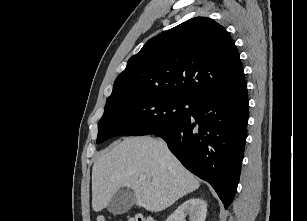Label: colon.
<instances>
[{"mask_svg":"<svg viewBox=\"0 0 307 221\" xmlns=\"http://www.w3.org/2000/svg\"><path fill=\"white\" fill-rule=\"evenodd\" d=\"M96 221H108V219L104 216H98ZM128 221H151V218L142 215H136L129 218Z\"/></svg>","mask_w":307,"mask_h":221,"instance_id":"colon-1","label":"colon"}]
</instances>
